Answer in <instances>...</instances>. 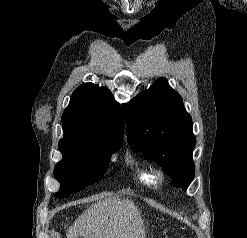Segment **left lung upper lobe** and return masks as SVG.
I'll list each match as a JSON object with an SVG mask.
<instances>
[{
    "mask_svg": "<svg viewBox=\"0 0 247 238\" xmlns=\"http://www.w3.org/2000/svg\"><path fill=\"white\" fill-rule=\"evenodd\" d=\"M122 109L131 149L143 152L166 169L178 187L187 190L195 174L192 153L196 138L181 96L161 77Z\"/></svg>",
    "mask_w": 247,
    "mask_h": 238,
    "instance_id": "5c2ea615",
    "label": "left lung upper lobe"
}]
</instances>
